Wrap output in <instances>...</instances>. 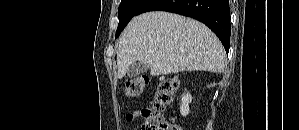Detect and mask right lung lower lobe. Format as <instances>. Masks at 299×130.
<instances>
[{
	"label": "right lung lower lobe",
	"mask_w": 299,
	"mask_h": 130,
	"mask_svg": "<svg viewBox=\"0 0 299 130\" xmlns=\"http://www.w3.org/2000/svg\"><path fill=\"white\" fill-rule=\"evenodd\" d=\"M167 11L203 22L220 39L226 52L230 47V8L228 0H147L137 11Z\"/></svg>",
	"instance_id": "1"
}]
</instances>
